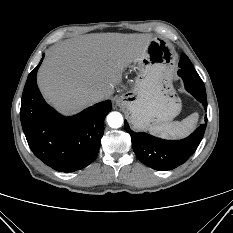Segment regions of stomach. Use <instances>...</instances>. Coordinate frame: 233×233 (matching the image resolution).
Listing matches in <instances>:
<instances>
[{"label":"stomach","instance_id":"0dacf381","mask_svg":"<svg viewBox=\"0 0 233 233\" xmlns=\"http://www.w3.org/2000/svg\"><path fill=\"white\" fill-rule=\"evenodd\" d=\"M176 53L162 38L150 41L136 62L133 87L121 96L135 129L167 123L181 111V100L172 85Z\"/></svg>","mask_w":233,"mask_h":233}]
</instances>
